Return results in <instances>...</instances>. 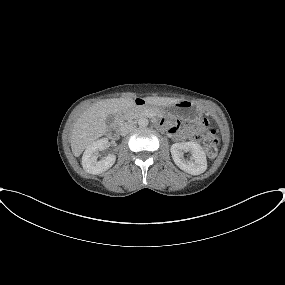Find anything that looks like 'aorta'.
Instances as JSON below:
<instances>
[{
	"instance_id": "aorta-1",
	"label": "aorta",
	"mask_w": 285,
	"mask_h": 285,
	"mask_svg": "<svg viewBox=\"0 0 285 285\" xmlns=\"http://www.w3.org/2000/svg\"><path fill=\"white\" fill-rule=\"evenodd\" d=\"M148 124H149V121H148V119H146V118H140V119L138 120V125H139L140 127H146V126H148Z\"/></svg>"
}]
</instances>
